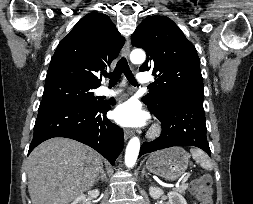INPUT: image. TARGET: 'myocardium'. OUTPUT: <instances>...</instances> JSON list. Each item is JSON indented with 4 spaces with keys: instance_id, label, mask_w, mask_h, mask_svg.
<instances>
[{
    "instance_id": "myocardium-1",
    "label": "myocardium",
    "mask_w": 253,
    "mask_h": 204,
    "mask_svg": "<svg viewBox=\"0 0 253 204\" xmlns=\"http://www.w3.org/2000/svg\"><path fill=\"white\" fill-rule=\"evenodd\" d=\"M161 132V126L159 124H154L148 133V137L152 139L157 138L161 134Z\"/></svg>"
}]
</instances>
